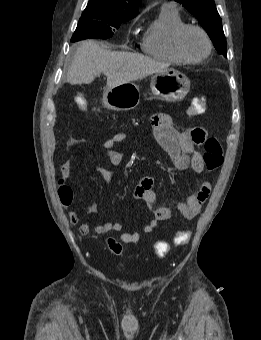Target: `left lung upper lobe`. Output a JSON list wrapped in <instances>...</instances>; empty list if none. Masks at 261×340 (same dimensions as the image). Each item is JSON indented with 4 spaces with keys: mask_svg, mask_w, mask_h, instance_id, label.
I'll return each instance as SVG.
<instances>
[{
    "mask_svg": "<svg viewBox=\"0 0 261 340\" xmlns=\"http://www.w3.org/2000/svg\"><path fill=\"white\" fill-rule=\"evenodd\" d=\"M182 4L200 22L211 38L217 52L227 56L226 38L222 20L217 12L214 0H175Z\"/></svg>",
    "mask_w": 261,
    "mask_h": 340,
    "instance_id": "left-lung-upper-lobe-1",
    "label": "left lung upper lobe"
}]
</instances>
